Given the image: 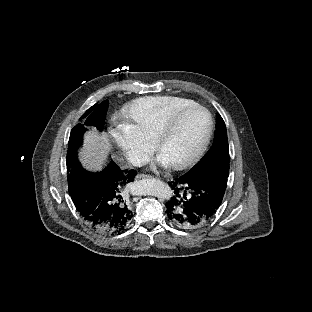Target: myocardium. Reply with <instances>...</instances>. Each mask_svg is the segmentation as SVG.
Listing matches in <instances>:
<instances>
[{"mask_svg": "<svg viewBox=\"0 0 312 312\" xmlns=\"http://www.w3.org/2000/svg\"><path fill=\"white\" fill-rule=\"evenodd\" d=\"M186 115H197L200 117L205 131L202 134L200 145L195 152L186 159H178L174 161L173 167L177 171L188 170L201 161L202 157L205 156L206 151L210 148V139L213 138L216 130L214 115L206 105L197 103L195 105L189 104L187 106H179L174 111L170 112L169 116H167L166 120L163 122L161 133L156 138L157 142L155 147L157 150L162 151L165 149L166 143L171 137V133L176 129L181 118L186 117Z\"/></svg>", "mask_w": 312, "mask_h": 312, "instance_id": "myocardium-1", "label": "myocardium"}]
</instances>
